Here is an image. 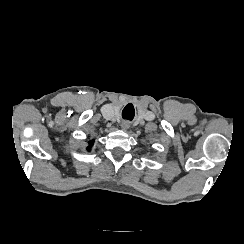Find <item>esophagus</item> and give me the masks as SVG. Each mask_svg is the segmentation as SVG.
I'll return each instance as SVG.
<instances>
[{"mask_svg":"<svg viewBox=\"0 0 244 244\" xmlns=\"http://www.w3.org/2000/svg\"><path fill=\"white\" fill-rule=\"evenodd\" d=\"M129 127H130V123L129 122H123L122 124H121V128L124 130V131H126V130H128L129 129Z\"/></svg>","mask_w":244,"mask_h":244,"instance_id":"esophagus-1","label":"esophagus"}]
</instances>
